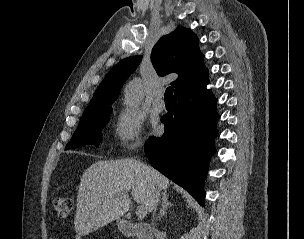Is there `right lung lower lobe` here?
Segmentation results:
<instances>
[{
    "label": "right lung lower lobe",
    "instance_id": "1",
    "mask_svg": "<svg viewBox=\"0 0 304 239\" xmlns=\"http://www.w3.org/2000/svg\"><path fill=\"white\" fill-rule=\"evenodd\" d=\"M208 72L175 92L173 110L161 119L165 133L150 137L145 153L151 165L186 189L201 205L208 163L215 153L216 99Z\"/></svg>",
    "mask_w": 304,
    "mask_h": 239
}]
</instances>
